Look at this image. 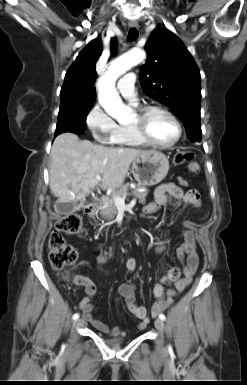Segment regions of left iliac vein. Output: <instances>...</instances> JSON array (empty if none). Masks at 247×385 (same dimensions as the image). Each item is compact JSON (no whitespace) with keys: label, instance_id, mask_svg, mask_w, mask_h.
<instances>
[{"label":"left iliac vein","instance_id":"1","mask_svg":"<svg viewBox=\"0 0 247 385\" xmlns=\"http://www.w3.org/2000/svg\"><path fill=\"white\" fill-rule=\"evenodd\" d=\"M154 324L158 331H160L161 333L164 331V322L162 319H156Z\"/></svg>","mask_w":247,"mask_h":385}]
</instances>
